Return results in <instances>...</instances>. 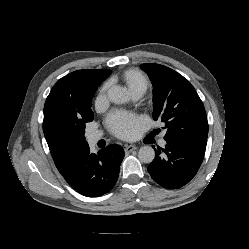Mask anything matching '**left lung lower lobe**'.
<instances>
[{"mask_svg":"<svg viewBox=\"0 0 249 249\" xmlns=\"http://www.w3.org/2000/svg\"><path fill=\"white\" fill-rule=\"evenodd\" d=\"M155 152L148 172L158 184L168 189L187 184L197 173L204 156L191 148L168 142L165 149L158 148Z\"/></svg>","mask_w":249,"mask_h":249,"instance_id":"left-lung-lower-lobe-1","label":"left lung lower lobe"}]
</instances>
